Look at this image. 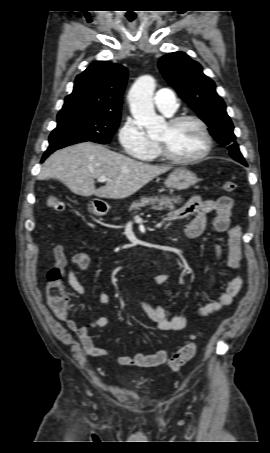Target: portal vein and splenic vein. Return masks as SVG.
Segmentation results:
<instances>
[{
    "mask_svg": "<svg viewBox=\"0 0 270 453\" xmlns=\"http://www.w3.org/2000/svg\"><path fill=\"white\" fill-rule=\"evenodd\" d=\"M97 180H98V182H111L112 181L111 179H109L105 176H101Z\"/></svg>",
    "mask_w": 270,
    "mask_h": 453,
    "instance_id": "18ae733b",
    "label": "portal vein and splenic vein"
}]
</instances>
